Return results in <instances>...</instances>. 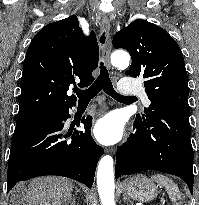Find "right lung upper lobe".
I'll list each match as a JSON object with an SVG mask.
<instances>
[{
	"label": "right lung upper lobe",
	"mask_w": 199,
	"mask_h": 205,
	"mask_svg": "<svg viewBox=\"0 0 199 205\" xmlns=\"http://www.w3.org/2000/svg\"><path fill=\"white\" fill-rule=\"evenodd\" d=\"M99 48L94 31L87 37L76 16L50 23L32 39L21 78L17 117L59 110L76 103L68 96L71 84L86 87L94 81Z\"/></svg>",
	"instance_id": "cb5924a9"
}]
</instances>
